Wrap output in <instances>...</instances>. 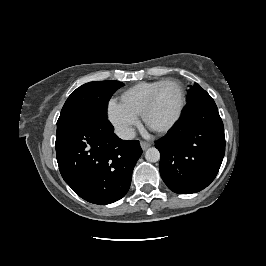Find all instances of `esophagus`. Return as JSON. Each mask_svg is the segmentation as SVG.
Segmentation results:
<instances>
[{
  "label": "esophagus",
  "instance_id": "esophagus-1",
  "mask_svg": "<svg viewBox=\"0 0 266 266\" xmlns=\"http://www.w3.org/2000/svg\"><path fill=\"white\" fill-rule=\"evenodd\" d=\"M140 145H141V148L143 150H146L147 148H149L151 146V144L149 142H146V141H141Z\"/></svg>",
  "mask_w": 266,
  "mask_h": 266
}]
</instances>
